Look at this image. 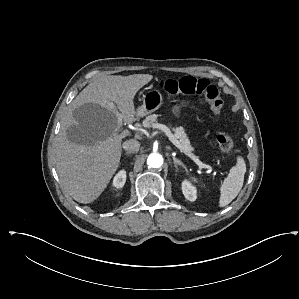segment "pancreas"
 Here are the masks:
<instances>
[{"mask_svg": "<svg viewBox=\"0 0 299 299\" xmlns=\"http://www.w3.org/2000/svg\"><path fill=\"white\" fill-rule=\"evenodd\" d=\"M158 116L159 115H157V114H152V115L147 116L143 120L142 126L145 128H151V127L154 128V125L157 124ZM172 130L174 131V136L177 138V140L179 141L181 146L187 152H191L193 148L190 144L187 134L185 133L184 128L180 126V127L172 128Z\"/></svg>", "mask_w": 299, "mask_h": 299, "instance_id": "obj_1", "label": "pancreas"}]
</instances>
